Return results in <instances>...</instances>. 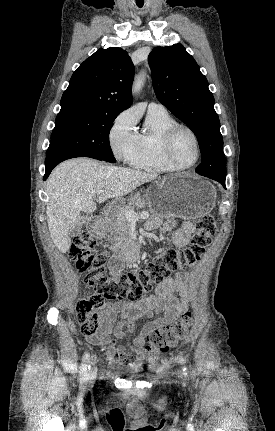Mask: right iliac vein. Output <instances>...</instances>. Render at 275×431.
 Wrapping results in <instances>:
<instances>
[{
	"instance_id": "63e3f726",
	"label": "right iliac vein",
	"mask_w": 275,
	"mask_h": 431,
	"mask_svg": "<svg viewBox=\"0 0 275 431\" xmlns=\"http://www.w3.org/2000/svg\"><path fill=\"white\" fill-rule=\"evenodd\" d=\"M96 368H95V363L94 362H92L91 363V368H90V371H89V376L90 377H94L95 375H96Z\"/></svg>"
}]
</instances>
